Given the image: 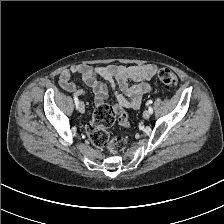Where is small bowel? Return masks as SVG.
Returning a JSON list of instances; mask_svg holds the SVG:
<instances>
[{
  "label": "small bowel",
  "mask_w": 224,
  "mask_h": 224,
  "mask_svg": "<svg viewBox=\"0 0 224 224\" xmlns=\"http://www.w3.org/2000/svg\"><path fill=\"white\" fill-rule=\"evenodd\" d=\"M156 72L157 67L149 64L130 66L80 64L63 70L60 74L59 84L64 90L83 96L85 94L84 89L76 86L71 80L73 74L80 75L85 85L94 92L95 104L100 106L104 104L108 95L106 84L99 80V77L103 78L110 82L114 89L116 87L119 89L120 92H116L115 95L121 107L136 110L141 106L142 96L152 90L147 80L153 77Z\"/></svg>",
  "instance_id": "c3829d8e"
}]
</instances>
